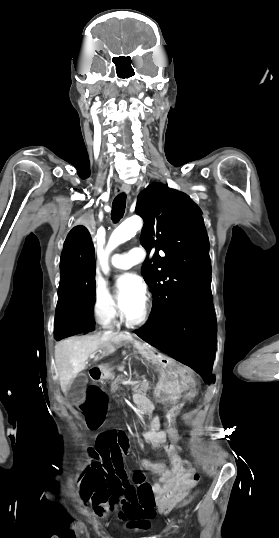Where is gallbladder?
Instances as JSON below:
<instances>
[{"label": "gallbladder", "mask_w": 279, "mask_h": 538, "mask_svg": "<svg viewBox=\"0 0 279 538\" xmlns=\"http://www.w3.org/2000/svg\"><path fill=\"white\" fill-rule=\"evenodd\" d=\"M87 382H88L87 376H85V374H79V376H77V378L73 380L72 384H70V390L68 394H72V397H75V394H73V390H75V392H82ZM74 406H77V403H74Z\"/></svg>", "instance_id": "bac80fb5"}]
</instances>
